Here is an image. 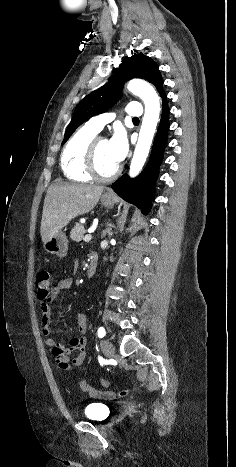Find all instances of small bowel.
<instances>
[{
    "instance_id": "obj_1",
    "label": "small bowel",
    "mask_w": 236,
    "mask_h": 467,
    "mask_svg": "<svg viewBox=\"0 0 236 467\" xmlns=\"http://www.w3.org/2000/svg\"><path fill=\"white\" fill-rule=\"evenodd\" d=\"M72 284L73 280L71 278L61 280L53 289L50 298L42 302L40 305L42 332L46 336V345L50 347L56 364L59 368L64 370L79 368L83 365L87 356V339L84 334L88 329V320L83 312L78 313L76 316L77 328L83 334L82 336L71 338L67 346L63 345L56 338L51 336L50 303L55 301L62 292L69 290L72 287Z\"/></svg>"
}]
</instances>
